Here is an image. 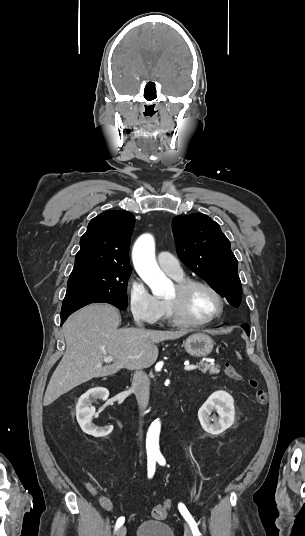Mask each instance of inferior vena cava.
<instances>
[{
    "mask_svg": "<svg viewBox=\"0 0 305 536\" xmlns=\"http://www.w3.org/2000/svg\"><path fill=\"white\" fill-rule=\"evenodd\" d=\"M135 322L139 328H142L143 324L140 322V318H135ZM149 380L145 374V372H142V370H139V372H135L134 374V380L132 384L131 390H133L137 404L139 406L140 412H144L148 406L149 402V396H150V388H149ZM140 440L142 438V432L140 430Z\"/></svg>",
    "mask_w": 305,
    "mask_h": 536,
    "instance_id": "inferior-vena-cava-1",
    "label": "inferior vena cava"
}]
</instances>
